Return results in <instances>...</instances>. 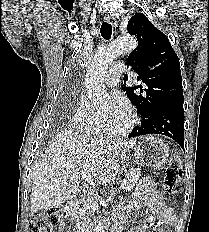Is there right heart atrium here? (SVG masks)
Here are the masks:
<instances>
[{"mask_svg":"<svg viewBox=\"0 0 209 232\" xmlns=\"http://www.w3.org/2000/svg\"><path fill=\"white\" fill-rule=\"evenodd\" d=\"M70 122L76 130L87 133L96 131L104 124L86 95H81L77 100Z\"/></svg>","mask_w":209,"mask_h":232,"instance_id":"right-heart-atrium-1","label":"right heart atrium"}]
</instances>
